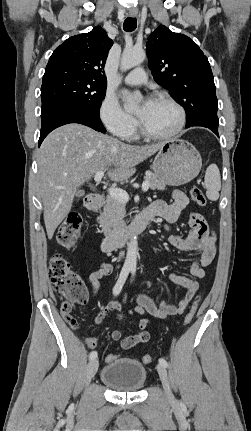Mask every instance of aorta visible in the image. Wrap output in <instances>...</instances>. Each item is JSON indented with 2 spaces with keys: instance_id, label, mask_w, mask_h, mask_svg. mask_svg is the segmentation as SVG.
I'll use <instances>...</instances> for the list:
<instances>
[{
  "instance_id": "762f6f07",
  "label": "aorta",
  "mask_w": 251,
  "mask_h": 431,
  "mask_svg": "<svg viewBox=\"0 0 251 431\" xmlns=\"http://www.w3.org/2000/svg\"><path fill=\"white\" fill-rule=\"evenodd\" d=\"M146 57L145 51L140 48H125L122 53L120 69L127 71L139 64H141ZM126 93V91H125ZM137 253H138V241L137 237L131 238L127 245V254L125 260V266L131 270L136 269L137 265Z\"/></svg>"
}]
</instances>
